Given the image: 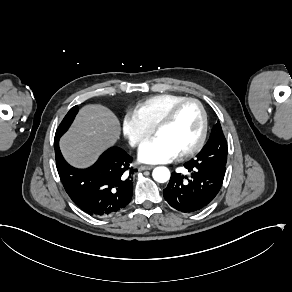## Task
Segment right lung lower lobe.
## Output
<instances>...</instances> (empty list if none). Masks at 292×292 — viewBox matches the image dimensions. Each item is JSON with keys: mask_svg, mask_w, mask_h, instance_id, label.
I'll return each instance as SVG.
<instances>
[{"mask_svg": "<svg viewBox=\"0 0 292 292\" xmlns=\"http://www.w3.org/2000/svg\"><path fill=\"white\" fill-rule=\"evenodd\" d=\"M58 174L71 200L94 217L112 216L125 209L133 195L132 157L119 147L105 151L87 169L70 166L63 158L59 140L54 144Z\"/></svg>", "mask_w": 292, "mask_h": 292, "instance_id": "obj_1", "label": "right lung lower lobe"}]
</instances>
